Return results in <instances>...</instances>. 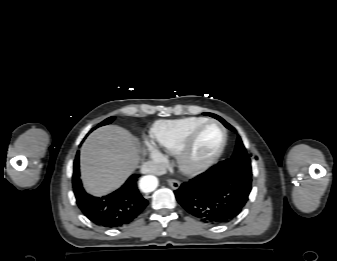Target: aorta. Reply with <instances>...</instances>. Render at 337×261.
Instances as JSON below:
<instances>
[{"mask_svg":"<svg viewBox=\"0 0 337 261\" xmlns=\"http://www.w3.org/2000/svg\"><path fill=\"white\" fill-rule=\"evenodd\" d=\"M139 186L142 192L150 193L158 186V180L155 176L147 175L140 179Z\"/></svg>","mask_w":337,"mask_h":261,"instance_id":"1","label":"aorta"}]
</instances>
